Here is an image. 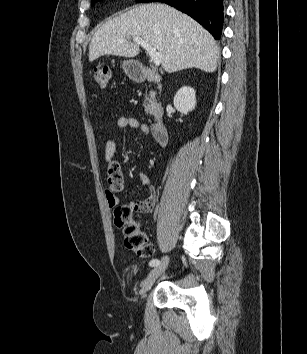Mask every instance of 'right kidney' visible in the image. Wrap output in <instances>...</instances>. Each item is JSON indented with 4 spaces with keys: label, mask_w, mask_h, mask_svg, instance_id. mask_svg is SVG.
I'll return each mask as SVG.
<instances>
[{
    "label": "right kidney",
    "mask_w": 307,
    "mask_h": 354,
    "mask_svg": "<svg viewBox=\"0 0 307 354\" xmlns=\"http://www.w3.org/2000/svg\"><path fill=\"white\" fill-rule=\"evenodd\" d=\"M195 90L189 86L181 87L174 96L173 104L182 114L187 115L196 105Z\"/></svg>",
    "instance_id": "obj_1"
}]
</instances>
